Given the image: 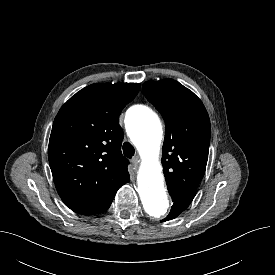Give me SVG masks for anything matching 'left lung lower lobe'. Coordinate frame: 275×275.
Listing matches in <instances>:
<instances>
[{
    "label": "left lung lower lobe",
    "mask_w": 275,
    "mask_h": 275,
    "mask_svg": "<svg viewBox=\"0 0 275 275\" xmlns=\"http://www.w3.org/2000/svg\"><path fill=\"white\" fill-rule=\"evenodd\" d=\"M173 206L169 213V216L162 220L167 221L176 218L179 214H181L192 202L196 193L187 192V191H176V192H169Z\"/></svg>",
    "instance_id": "left-lung-lower-lobe-1"
}]
</instances>
